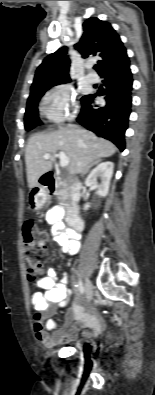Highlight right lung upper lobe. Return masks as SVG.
<instances>
[{
	"mask_svg": "<svg viewBox=\"0 0 155 395\" xmlns=\"http://www.w3.org/2000/svg\"><path fill=\"white\" fill-rule=\"evenodd\" d=\"M83 31L80 41L74 45V48L83 58L88 56L101 58L98 61L99 75L111 68L130 63L126 49L110 23L92 17L83 23ZM67 52L68 48L62 47L43 60L36 70L29 98L48 86L70 81L71 61Z\"/></svg>",
	"mask_w": 155,
	"mask_h": 395,
	"instance_id": "obj_1",
	"label": "right lung upper lobe"
}]
</instances>
